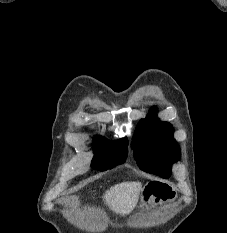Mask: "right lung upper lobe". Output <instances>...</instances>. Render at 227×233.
Masks as SVG:
<instances>
[{"label":"right lung upper lobe","mask_w":227,"mask_h":233,"mask_svg":"<svg viewBox=\"0 0 227 233\" xmlns=\"http://www.w3.org/2000/svg\"><path fill=\"white\" fill-rule=\"evenodd\" d=\"M123 145H124V147L127 149V145H128V141H127V139H120L119 140ZM101 142H103L100 138H96L95 139V145L96 144H99V143H101Z\"/></svg>","instance_id":"obj_1"}]
</instances>
